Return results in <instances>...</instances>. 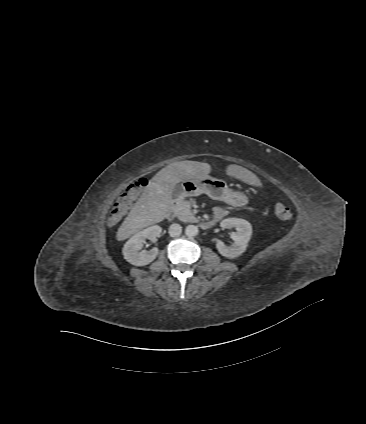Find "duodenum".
I'll use <instances>...</instances> for the list:
<instances>
[{"instance_id": "1", "label": "duodenum", "mask_w": 366, "mask_h": 424, "mask_svg": "<svg viewBox=\"0 0 366 424\" xmlns=\"http://www.w3.org/2000/svg\"><path fill=\"white\" fill-rule=\"evenodd\" d=\"M174 214H175L174 209L173 208H170L169 211H168V213H167V217L168 218H173L174 217ZM214 224H215V221L214 220L203 221L201 223V228L204 229V230H208L211 227H213Z\"/></svg>"}]
</instances>
